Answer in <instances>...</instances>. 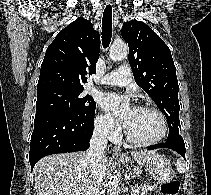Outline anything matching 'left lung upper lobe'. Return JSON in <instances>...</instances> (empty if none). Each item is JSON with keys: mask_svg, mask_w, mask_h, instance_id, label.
I'll return each mask as SVG.
<instances>
[{"mask_svg": "<svg viewBox=\"0 0 211 195\" xmlns=\"http://www.w3.org/2000/svg\"><path fill=\"white\" fill-rule=\"evenodd\" d=\"M121 35L129 45L128 59L135 81L165 114L168 139L180 135L179 86L170 49L141 21L123 23Z\"/></svg>", "mask_w": 211, "mask_h": 195, "instance_id": "obj_1", "label": "left lung upper lobe"}]
</instances>
